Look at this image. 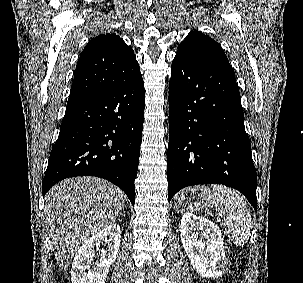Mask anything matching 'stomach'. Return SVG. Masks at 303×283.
I'll return each instance as SVG.
<instances>
[{
	"mask_svg": "<svg viewBox=\"0 0 303 283\" xmlns=\"http://www.w3.org/2000/svg\"><path fill=\"white\" fill-rule=\"evenodd\" d=\"M214 194L204 186L189 187L175 198L174 209L178 212L199 211L213 204Z\"/></svg>",
	"mask_w": 303,
	"mask_h": 283,
	"instance_id": "0dacf381",
	"label": "stomach"
}]
</instances>
